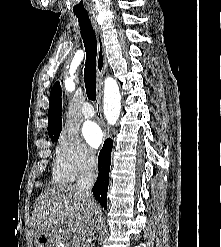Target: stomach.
I'll use <instances>...</instances> for the list:
<instances>
[{"label":"stomach","instance_id":"stomach-1","mask_svg":"<svg viewBox=\"0 0 221 247\" xmlns=\"http://www.w3.org/2000/svg\"><path fill=\"white\" fill-rule=\"evenodd\" d=\"M55 239V233L53 231L40 232L35 236L36 247H52Z\"/></svg>","mask_w":221,"mask_h":247}]
</instances>
